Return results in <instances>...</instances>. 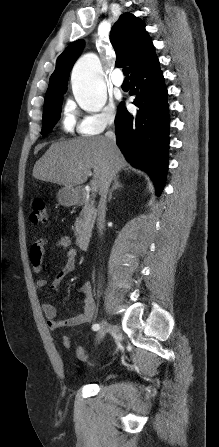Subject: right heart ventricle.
Here are the masks:
<instances>
[{
    "instance_id": "1",
    "label": "right heart ventricle",
    "mask_w": 219,
    "mask_h": 447,
    "mask_svg": "<svg viewBox=\"0 0 219 447\" xmlns=\"http://www.w3.org/2000/svg\"><path fill=\"white\" fill-rule=\"evenodd\" d=\"M77 127L75 111L73 108L67 106L63 117V129L65 132H73ZM80 131V130H79Z\"/></svg>"
}]
</instances>
